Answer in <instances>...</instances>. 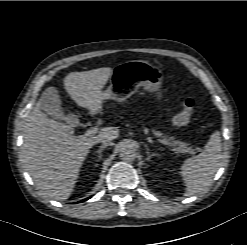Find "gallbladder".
Segmentation results:
<instances>
[{"mask_svg": "<svg viewBox=\"0 0 247 245\" xmlns=\"http://www.w3.org/2000/svg\"><path fill=\"white\" fill-rule=\"evenodd\" d=\"M39 105L45 114L54 119L65 120L67 117L62 108L58 91L54 87L45 89L39 99Z\"/></svg>", "mask_w": 247, "mask_h": 245, "instance_id": "gallbladder-1", "label": "gallbladder"}]
</instances>
